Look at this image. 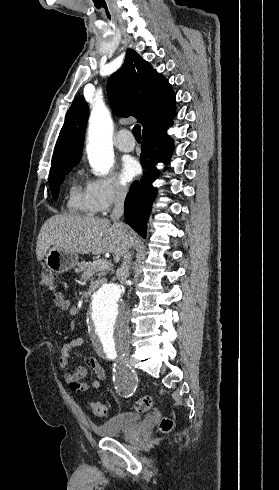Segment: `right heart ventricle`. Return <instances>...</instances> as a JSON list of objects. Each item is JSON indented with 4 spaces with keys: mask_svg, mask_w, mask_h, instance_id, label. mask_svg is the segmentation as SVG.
<instances>
[{
    "mask_svg": "<svg viewBox=\"0 0 279 490\" xmlns=\"http://www.w3.org/2000/svg\"><path fill=\"white\" fill-rule=\"evenodd\" d=\"M71 209L75 212H79L85 215H90L86 204L85 196L80 193L75 187L71 190V199L69 203Z\"/></svg>",
    "mask_w": 279,
    "mask_h": 490,
    "instance_id": "right-heart-ventricle-1",
    "label": "right heart ventricle"
}]
</instances>
